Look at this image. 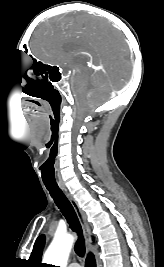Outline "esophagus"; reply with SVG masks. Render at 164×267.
Instances as JSON below:
<instances>
[{"instance_id": "1", "label": "esophagus", "mask_w": 164, "mask_h": 267, "mask_svg": "<svg viewBox=\"0 0 164 267\" xmlns=\"http://www.w3.org/2000/svg\"><path fill=\"white\" fill-rule=\"evenodd\" d=\"M64 193H65L66 197L68 198V200L70 201L71 205L73 206V208L76 212V215L80 221V224H81V227L83 230V234H84L85 243H86V251H87V253H89L92 241H91V230H90V227L86 221V217H85L83 211L81 210V208L79 207V204L74 199V197L66 189H64Z\"/></svg>"}]
</instances>
